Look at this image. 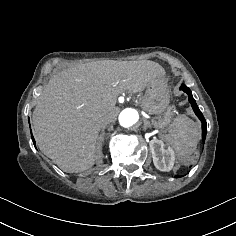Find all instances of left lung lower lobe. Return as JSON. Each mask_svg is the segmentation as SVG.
<instances>
[{
	"instance_id": "1",
	"label": "left lung lower lobe",
	"mask_w": 236,
	"mask_h": 236,
	"mask_svg": "<svg viewBox=\"0 0 236 236\" xmlns=\"http://www.w3.org/2000/svg\"><path fill=\"white\" fill-rule=\"evenodd\" d=\"M180 90H183L184 92H186L188 94V99L189 102L191 103V106L195 112V114L198 116V118L201 120L202 122V139L203 141H205L206 138V134H207V123L206 120L203 116V114L201 113V111L199 110L193 96H192V92L191 90L184 84L181 85ZM177 177V176H176Z\"/></svg>"
}]
</instances>
